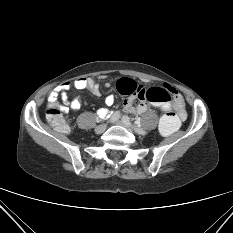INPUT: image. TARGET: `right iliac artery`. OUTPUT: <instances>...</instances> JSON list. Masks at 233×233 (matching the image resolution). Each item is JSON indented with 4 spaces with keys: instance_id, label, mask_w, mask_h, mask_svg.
I'll return each instance as SVG.
<instances>
[{
    "instance_id": "82829eb1",
    "label": "right iliac artery",
    "mask_w": 233,
    "mask_h": 233,
    "mask_svg": "<svg viewBox=\"0 0 233 233\" xmlns=\"http://www.w3.org/2000/svg\"><path fill=\"white\" fill-rule=\"evenodd\" d=\"M119 117H120V112L116 111V112H114V115L112 117H110V121L111 122L116 121L119 119Z\"/></svg>"
}]
</instances>
